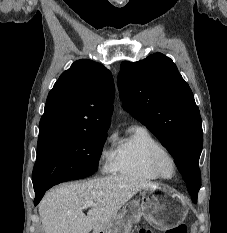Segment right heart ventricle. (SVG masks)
<instances>
[{
	"instance_id": "e07e8e85",
	"label": "right heart ventricle",
	"mask_w": 227,
	"mask_h": 233,
	"mask_svg": "<svg viewBox=\"0 0 227 233\" xmlns=\"http://www.w3.org/2000/svg\"><path fill=\"white\" fill-rule=\"evenodd\" d=\"M165 150L144 127L132 126L125 137L117 142L112 171L115 174L153 181L159 179L151 169V157Z\"/></svg>"
}]
</instances>
